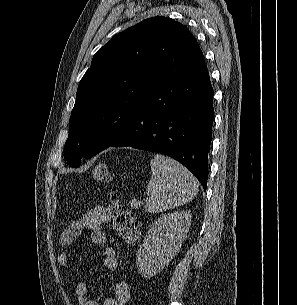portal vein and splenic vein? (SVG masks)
Here are the masks:
<instances>
[{"mask_svg":"<svg viewBox=\"0 0 297 305\" xmlns=\"http://www.w3.org/2000/svg\"><path fill=\"white\" fill-rule=\"evenodd\" d=\"M133 203H134V201H133ZM138 204H139V203L136 202V203H134V206H137Z\"/></svg>","mask_w":297,"mask_h":305,"instance_id":"1","label":"portal vein and splenic vein"}]
</instances>
